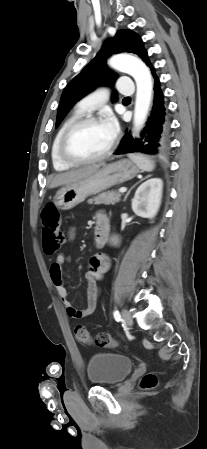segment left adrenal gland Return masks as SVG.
<instances>
[{
	"label": "left adrenal gland",
	"instance_id": "left-adrenal-gland-1",
	"mask_svg": "<svg viewBox=\"0 0 207 449\" xmlns=\"http://www.w3.org/2000/svg\"><path fill=\"white\" fill-rule=\"evenodd\" d=\"M148 177H150V175L146 176V177L143 178L142 180H144V179H146V178H148ZM142 180H141V181H142ZM141 181L137 182L136 184H134V185L129 189V191L126 193V195H125V197H124V199H123L124 202L126 201L127 197L129 196L131 190H132L138 183H140Z\"/></svg>",
	"mask_w": 207,
	"mask_h": 449
}]
</instances>
